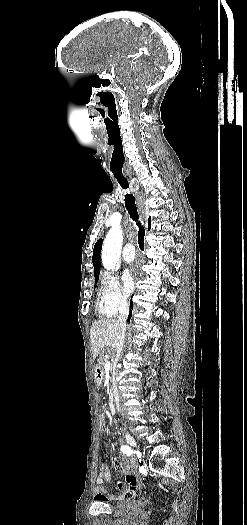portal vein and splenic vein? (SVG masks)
Masks as SVG:
<instances>
[{
  "instance_id": "1",
  "label": "portal vein and splenic vein",
  "mask_w": 247,
  "mask_h": 525,
  "mask_svg": "<svg viewBox=\"0 0 247 525\" xmlns=\"http://www.w3.org/2000/svg\"><path fill=\"white\" fill-rule=\"evenodd\" d=\"M109 361H112V358H109V360H106V363H104V375H106V383H109V380H110V377H109V373H111V362Z\"/></svg>"
}]
</instances>
